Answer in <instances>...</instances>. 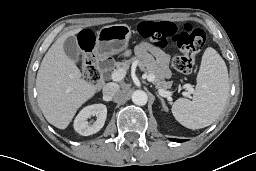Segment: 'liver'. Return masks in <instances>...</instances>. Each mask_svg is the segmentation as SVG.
Here are the masks:
<instances>
[{
    "label": "liver",
    "mask_w": 256,
    "mask_h": 171,
    "mask_svg": "<svg viewBox=\"0 0 256 171\" xmlns=\"http://www.w3.org/2000/svg\"><path fill=\"white\" fill-rule=\"evenodd\" d=\"M81 30L60 36L45 54L37 73L39 107L46 120L59 129H66L78 108L97 91L96 85L81 78L80 70L63 49L65 40Z\"/></svg>",
    "instance_id": "obj_1"
}]
</instances>
